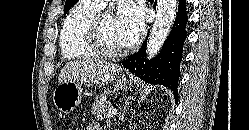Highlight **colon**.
<instances>
[{"label":"colon","instance_id":"colon-1","mask_svg":"<svg viewBox=\"0 0 249 130\" xmlns=\"http://www.w3.org/2000/svg\"><path fill=\"white\" fill-rule=\"evenodd\" d=\"M63 130H74V128L72 126H65Z\"/></svg>","mask_w":249,"mask_h":130}]
</instances>
